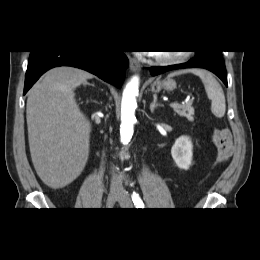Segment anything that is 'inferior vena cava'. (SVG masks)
<instances>
[{"instance_id": "1", "label": "inferior vena cava", "mask_w": 260, "mask_h": 260, "mask_svg": "<svg viewBox=\"0 0 260 260\" xmlns=\"http://www.w3.org/2000/svg\"><path fill=\"white\" fill-rule=\"evenodd\" d=\"M111 185L114 188H122L121 182L118 179H116L115 177H113Z\"/></svg>"}]
</instances>
